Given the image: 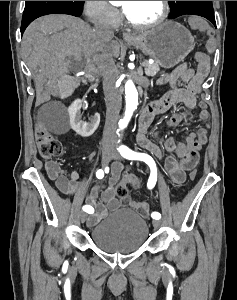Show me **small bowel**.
<instances>
[{"label":"small bowel","instance_id":"small-bowel-1","mask_svg":"<svg viewBox=\"0 0 237 300\" xmlns=\"http://www.w3.org/2000/svg\"><path fill=\"white\" fill-rule=\"evenodd\" d=\"M208 73L209 66L204 67L198 64L197 69L194 70L187 63H184L175 68L171 73L162 75L159 78L158 81L160 83H169L172 86V90L165 93L158 100L151 102L141 112L136 135V140L140 147L149 151L157 158H163L162 149L147 137L150 126L156 116L167 112L178 104H183L185 110L174 112L166 120V125L172 127L191 121L190 111L197 105L198 94ZM180 83L187 85L186 87H182ZM199 107V118L204 121L207 120L209 118L207 104L200 102ZM208 129V124L203 125L198 129L197 133H190L185 143L173 137L164 138L163 145L167 152L165 170L172 183H183L186 179L185 172L197 165L199 152L207 142ZM153 137L158 141L162 140L159 129H154ZM46 171L48 177L55 183L60 192L70 196H81L93 208L94 211L88 218L89 226L98 223L108 212H114L124 206L133 207L144 214L149 209V205L146 202H136L129 198L121 201L116 197V185L123 171L122 164H114L108 182L93 186L89 192L86 190V183L76 171L65 172L54 161L46 163Z\"/></svg>","mask_w":237,"mask_h":300}]
</instances>
